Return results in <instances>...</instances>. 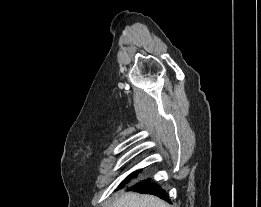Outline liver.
I'll list each match as a JSON object with an SVG mask.
<instances>
[{"instance_id": "obj_1", "label": "liver", "mask_w": 261, "mask_h": 207, "mask_svg": "<svg viewBox=\"0 0 261 207\" xmlns=\"http://www.w3.org/2000/svg\"><path fill=\"white\" fill-rule=\"evenodd\" d=\"M108 207H171L160 198L153 195H143L134 192L122 193Z\"/></svg>"}]
</instances>
